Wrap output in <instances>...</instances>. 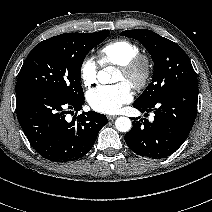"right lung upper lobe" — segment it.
Here are the masks:
<instances>
[{"label": "right lung upper lobe", "instance_id": "right-lung-upper-lobe-1", "mask_svg": "<svg viewBox=\"0 0 212 212\" xmlns=\"http://www.w3.org/2000/svg\"><path fill=\"white\" fill-rule=\"evenodd\" d=\"M60 37H61V35H58V36L52 37V38H50V39H48V40H55V39H58V38H60Z\"/></svg>", "mask_w": 212, "mask_h": 212}]
</instances>
